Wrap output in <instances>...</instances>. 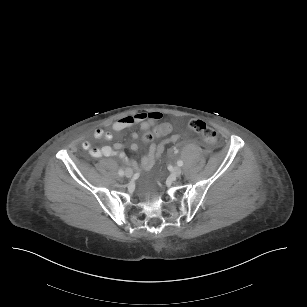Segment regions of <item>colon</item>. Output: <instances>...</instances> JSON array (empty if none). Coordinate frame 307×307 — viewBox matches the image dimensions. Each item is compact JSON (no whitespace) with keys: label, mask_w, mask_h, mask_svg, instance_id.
Here are the masks:
<instances>
[{"label":"colon","mask_w":307,"mask_h":307,"mask_svg":"<svg viewBox=\"0 0 307 307\" xmlns=\"http://www.w3.org/2000/svg\"><path fill=\"white\" fill-rule=\"evenodd\" d=\"M190 130L202 134L206 141L210 144L217 142L218 135L215 130L210 128L205 122L200 119H190L187 123ZM172 131V126L170 124H165L164 126L154 127L152 132H146L144 134V139L146 141H153L155 136L166 135Z\"/></svg>","instance_id":"5ec220e1"}]
</instances>
